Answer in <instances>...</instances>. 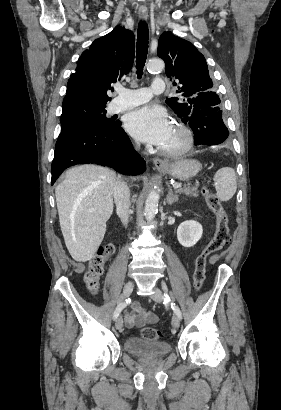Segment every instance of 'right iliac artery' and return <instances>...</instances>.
Masks as SVG:
<instances>
[{"label": "right iliac artery", "mask_w": 281, "mask_h": 410, "mask_svg": "<svg viewBox=\"0 0 281 410\" xmlns=\"http://www.w3.org/2000/svg\"><path fill=\"white\" fill-rule=\"evenodd\" d=\"M130 302H131V299L128 298V299H126L125 301L120 302V303L117 305V307H116V309H115V311H114V313H113V319H114V320L117 319V317L119 316L120 312H121Z\"/></svg>", "instance_id": "right-iliac-artery-1"}]
</instances>
